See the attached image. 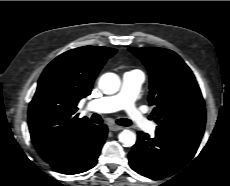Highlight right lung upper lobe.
I'll return each instance as SVG.
<instances>
[{
  "label": "right lung upper lobe",
  "instance_id": "obj_1",
  "mask_svg": "<svg viewBox=\"0 0 230 186\" xmlns=\"http://www.w3.org/2000/svg\"><path fill=\"white\" fill-rule=\"evenodd\" d=\"M116 49L84 46L55 58L43 71L28 110L31 140L42 156L90 125L78 118V102L91 93L93 82Z\"/></svg>",
  "mask_w": 230,
  "mask_h": 186
}]
</instances>
